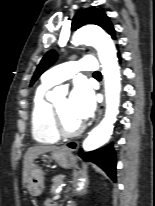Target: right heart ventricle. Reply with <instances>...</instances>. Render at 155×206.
I'll list each match as a JSON object with an SVG mask.
<instances>
[{
    "instance_id": "e07e8e85",
    "label": "right heart ventricle",
    "mask_w": 155,
    "mask_h": 206,
    "mask_svg": "<svg viewBox=\"0 0 155 206\" xmlns=\"http://www.w3.org/2000/svg\"><path fill=\"white\" fill-rule=\"evenodd\" d=\"M52 85L43 81L37 88L32 103L31 131L34 139L42 144L55 143L60 137L53 125L51 103L46 98Z\"/></svg>"
}]
</instances>
